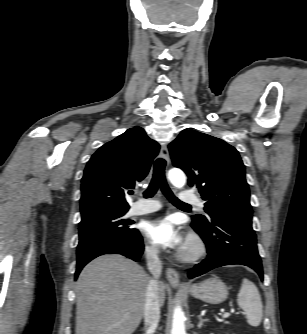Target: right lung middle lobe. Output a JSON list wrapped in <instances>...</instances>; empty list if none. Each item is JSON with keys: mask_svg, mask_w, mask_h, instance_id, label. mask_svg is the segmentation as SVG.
<instances>
[{"mask_svg": "<svg viewBox=\"0 0 307 334\" xmlns=\"http://www.w3.org/2000/svg\"><path fill=\"white\" fill-rule=\"evenodd\" d=\"M126 212L103 211L82 216L77 258L103 246H118L133 240L139 231L124 218Z\"/></svg>", "mask_w": 307, "mask_h": 334, "instance_id": "obj_1", "label": "right lung middle lobe"}]
</instances>
